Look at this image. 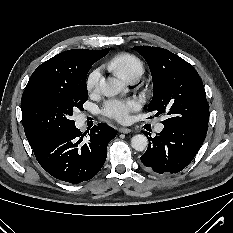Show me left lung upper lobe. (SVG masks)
Instances as JSON below:
<instances>
[{
  "mask_svg": "<svg viewBox=\"0 0 233 233\" xmlns=\"http://www.w3.org/2000/svg\"><path fill=\"white\" fill-rule=\"evenodd\" d=\"M148 63L153 98L148 112L166 113V125L187 126L207 133L209 106L202 80L191 64L158 47H133Z\"/></svg>",
  "mask_w": 233,
  "mask_h": 233,
  "instance_id": "obj_1",
  "label": "left lung upper lobe"
}]
</instances>
